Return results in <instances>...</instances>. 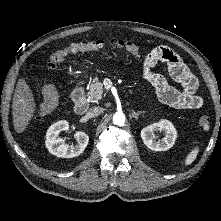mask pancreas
Wrapping results in <instances>:
<instances>
[{
    "label": "pancreas",
    "mask_w": 221,
    "mask_h": 221,
    "mask_svg": "<svg viewBox=\"0 0 221 221\" xmlns=\"http://www.w3.org/2000/svg\"><path fill=\"white\" fill-rule=\"evenodd\" d=\"M103 94V83H101L97 78L93 79L90 90L87 94L90 101H97L102 98Z\"/></svg>",
    "instance_id": "pancreas-1"
}]
</instances>
